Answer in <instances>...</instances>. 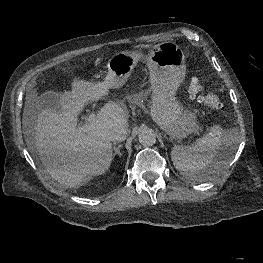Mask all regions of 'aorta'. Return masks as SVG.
Here are the masks:
<instances>
[{"instance_id":"obj_1","label":"aorta","mask_w":263,"mask_h":263,"mask_svg":"<svg viewBox=\"0 0 263 263\" xmlns=\"http://www.w3.org/2000/svg\"><path fill=\"white\" fill-rule=\"evenodd\" d=\"M139 142L144 147H150L156 143V134L152 130H143L138 136Z\"/></svg>"}]
</instances>
